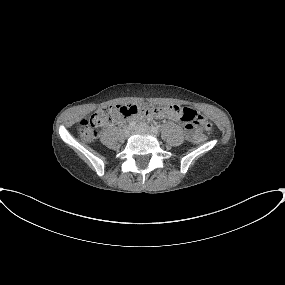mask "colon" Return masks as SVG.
Listing matches in <instances>:
<instances>
[{"label":"colon","instance_id":"colon-1","mask_svg":"<svg viewBox=\"0 0 285 285\" xmlns=\"http://www.w3.org/2000/svg\"><path fill=\"white\" fill-rule=\"evenodd\" d=\"M176 106H155L148 104L128 105L123 107L102 106L95 110L89 117L82 119L78 125V131L83 141H92L98 136V129L109 125L118 117H135L147 114H167L171 115L178 111ZM181 120L186 124L188 137L193 141L201 138L200 129H211L212 125L202 115L192 109L183 108Z\"/></svg>","mask_w":285,"mask_h":285}]
</instances>
